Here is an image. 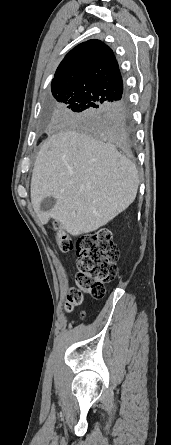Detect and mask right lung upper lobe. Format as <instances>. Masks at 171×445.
Returning <instances> with one entry per match:
<instances>
[{
    "instance_id": "cb5924a9",
    "label": "right lung upper lobe",
    "mask_w": 171,
    "mask_h": 445,
    "mask_svg": "<svg viewBox=\"0 0 171 445\" xmlns=\"http://www.w3.org/2000/svg\"><path fill=\"white\" fill-rule=\"evenodd\" d=\"M51 89L90 92L106 102L125 98L119 66L113 51L100 40H88L72 49L58 66Z\"/></svg>"
}]
</instances>
